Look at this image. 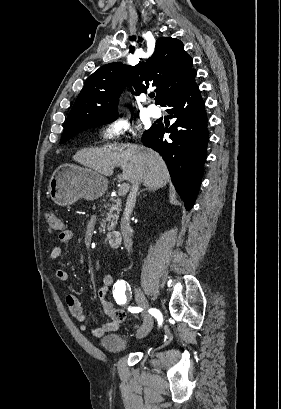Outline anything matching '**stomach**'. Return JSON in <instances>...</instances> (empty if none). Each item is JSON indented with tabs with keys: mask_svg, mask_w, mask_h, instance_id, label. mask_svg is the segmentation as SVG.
<instances>
[{
	"mask_svg": "<svg viewBox=\"0 0 281 409\" xmlns=\"http://www.w3.org/2000/svg\"><path fill=\"white\" fill-rule=\"evenodd\" d=\"M108 180L93 168L78 164H60L48 184V192L60 207L73 205L79 198L94 200L105 192Z\"/></svg>",
	"mask_w": 281,
	"mask_h": 409,
	"instance_id": "stomach-1",
	"label": "stomach"
}]
</instances>
